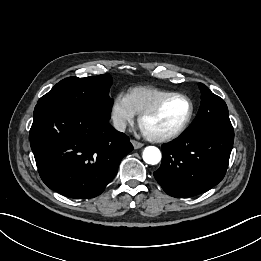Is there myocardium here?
I'll use <instances>...</instances> for the list:
<instances>
[{
    "instance_id": "obj_1",
    "label": "myocardium",
    "mask_w": 261,
    "mask_h": 261,
    "mask_svg": "<svg viewBox=\"0 0 261 261\" xmlns=\"http://www.w3.org/2000/svg\"><path fill=\"white\" fill-rule=\"evenodd\" d=\"M173 98L183 99V100L187 101V103L189 105V111H188V114H187L186 118L184 119V121L174 130L166 132V133L153 134V133L147 132L144 129V125H143L144 121L148 117H151V116L157 114L161 110V108L169 100H171ZM193 115H194V104L188 96L181 94V93H170V94H167L166 96L162 97L154 105H152L151 107H149L148 109H146L142 113H140L139 118H138V123H139V126L142 129L144 135L149 140L154 141V142H166V141L173 140V139L177 138L178 136H180L189 126V124L193 118Z\"/></svg>"
}]
</instances>
